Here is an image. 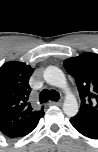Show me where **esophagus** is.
I'll use <instances>...</instances> for the list:
<instances>
[{"instance_id": "1", "label": "esophagus", "mask_w": 98, "mask_h": 152, "mask_svg": "<svg viewBox=\"0 0 98 152\" xmlns=\"http://www.w3.org/2000/svg\"><path fill=\"white\" fill-rule=\"evenodd\" d=\"M50 104L60 106V105H62V101L61 100L60 101H51Z\"/></svg>"}]
</instances>
